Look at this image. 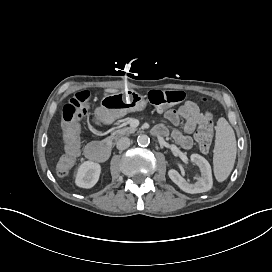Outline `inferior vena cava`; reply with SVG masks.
<instances>
[{"instance_id":"obj_1","label":"inferior vena cava","mask_w":272,"mask_h":272,"mask_svg":"<svg viewBox=\"0 0 272 272\" xmlns=\"http://www.w3.org/2000/svg\"><path fill=\"white\" fill-rule=\"evenodd\" d=\"M130 146V139L128 137H121L117 141V148L119 150L127 149Z\"/></svg>"}]
</instances>
